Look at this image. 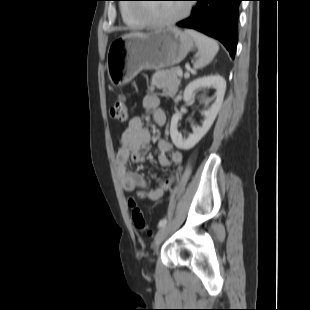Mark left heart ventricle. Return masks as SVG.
Masks as SVG:
<instances>
[{"mask_svg": "<svg viewBox=\"0 0 310 310\" xmlns=\"http://www.w3.org/2000/svg\"><path fill=\"white\" fill-rule=\"evenodd\" d=\"M183 11V6L176 4H155L144 9V12L158 20H169L178 16Z\"/></svg>", "mask_w": 310, "mask_h": 310, "instance_id": "left-heart-ventricle-1", "label": "left heart ventricle"}]
</instances>
